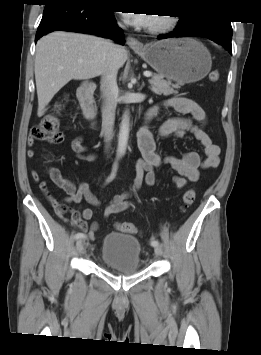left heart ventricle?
I'll return each mask as SVG.
<instances>
[{"label":"left heart ventricle","instance_id":"b2bd125f","mask_svg":"<svg viewBox=\"0 0 261 355\" xmlns=\"http://www.w3.org/2000/svg\"><path fill=\"white\" fill-rule=\"evenodd\" d=\"M158 18L155 20V22L153 23V25L157 22Z\"/></svg>","mask_w":261,"mask_h":355}]
</instances>
